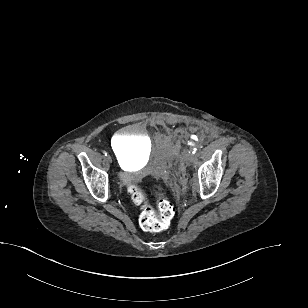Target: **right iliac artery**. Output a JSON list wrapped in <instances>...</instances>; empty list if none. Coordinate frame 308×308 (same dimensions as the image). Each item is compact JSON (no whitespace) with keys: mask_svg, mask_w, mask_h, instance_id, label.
<instances>
[{"mask_svg":"<svg viewBox=\"0 0 308 308\" xmlns=\"http://www.w3.org/2000/svg\"><path fill=\"white\" fill-rule=\"evenodd\" d=\"M105 156H107V152H103Z\"/></svg>","mask_w":308,"mask_h":308,"instance_id":"1","label":"right iliac artery"}]
</instances>
